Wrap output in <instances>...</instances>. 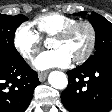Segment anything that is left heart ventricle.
Listing matches in <instances>:
<instances>
[{"label":"left heart ventricle","instance_id":"left-heart-ventricle-1","mask_svg":"<svg viewBox=\"0 0 112 112\" xmlns=\"http://www.w3.org/2000/svg\"><path fill=\"white\" fill-rule=\"evenodd\" d=\"M89 43V31L80 26L75 29L66 39L53 38L50 42L52 49L63 50L71 59L84 53Z\"/></svg>","mask_w":112,"mask_h":112}]
</instances>
